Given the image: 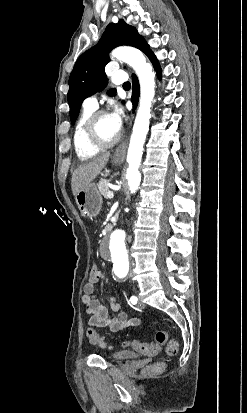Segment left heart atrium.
<instances>
[{"instance_id":"left-heart-atrium-1","label":"left heart atrium","mask_w":247,"mask_h":413,"mask_svg":"<svg viewBox=\"0 0 247 413\" xmlns=\"http://www.w3.org/2000/svg\"><path fill=\"white\" fill-rule=\"evenodd\" d=\"M105 121L106 124L116 133V135H118L123 122V112L121 108L113 104L111 110L105 115Z\"/></svg>"}]
</instances>
